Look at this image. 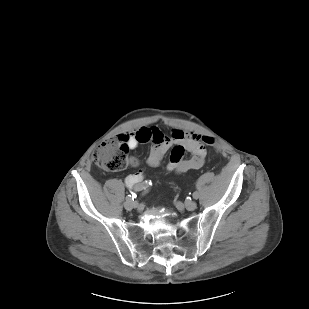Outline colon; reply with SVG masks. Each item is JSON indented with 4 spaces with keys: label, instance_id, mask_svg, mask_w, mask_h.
Listing matches in <instances>:
<instances>
[{
    "label": "colon",
    "instance_id": "colon-1",
    "mask_svg": "<svg viewBox=\"0 0 309 309\" xmlns=\"http://www.w3.org/2000/svg\"><path fill=\"white\" fill-rule=\"evenodd\" d=\"M202 142L218 150L212 137L204 136ZM129 145L123 137L103 142L93 154V164L109 172H118L126 168Z\"/></svg>",
    "mask_w": 309,
    "mask_h": 309
}]
</instances>
